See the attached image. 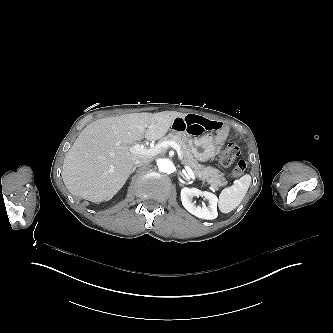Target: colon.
<instances>
[{"label":"colon","mask_w":333,"mask_h":333,"mask_svg":"<svg viewBox=\"0 0 333 333\" xmlns=\"http://www.w3.org/2000/svg\"><path fill=\"white\" fill-rule=\"evenodd\" d=\"M241 148L237 142H232L220 153L219 163L228 168L233 174L240 175L246 168V162L243 160L238 161L235 165L236 158L240 155Z\"/></svg>","instance_id":"1"}]
</instances>
